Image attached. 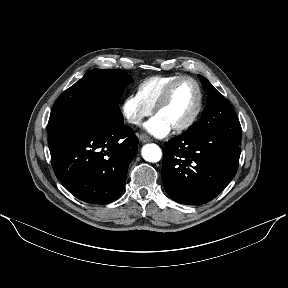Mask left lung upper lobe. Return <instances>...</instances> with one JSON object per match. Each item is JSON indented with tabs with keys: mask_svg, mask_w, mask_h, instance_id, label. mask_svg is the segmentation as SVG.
I'll use <instances>...</instances> for the list:
<instances>
[{
	"mask_svg": "<svg viewBox=\"0 0 288 288\" xmlns=\"http://www.w3.org/2000/svg\"><path fill=\"white\" fill-rule=\"evenodd\" d=\"M198 76L208 94L207 103L200 121L191 125L185 132L194 133L205 129L231 138L240 144L242 129L232 105L205 77Z\"/></svg>",
	"mask_w": 288,
	"mask_h": 288,
	"instance_id": "1",
	"label": "left lung upper lobe"
}]
</instances>
